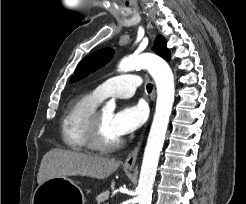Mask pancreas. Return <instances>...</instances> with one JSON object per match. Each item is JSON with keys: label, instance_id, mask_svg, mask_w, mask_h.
Listing matches in <instances>:
<instances>
[{"label": "pancreas", "instance_id": "obj_1", "mask_svg": "<svg viewBox=\"0 0 246 204\" xmlns=\"http://www.w3.org/2000/svg\"><path fill=\"white\" fill-rule=\"evenodd\" d=\"M109 190L104 191L96 197L97 204H105V201L109 199ZM108 204V203H107Z\"/></svg>", "mask_w": 246, "mask_h": 204}]
</instances>
